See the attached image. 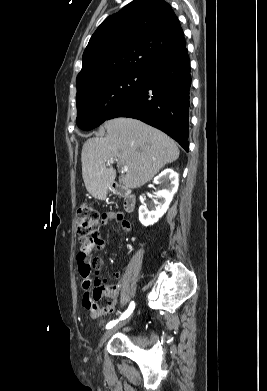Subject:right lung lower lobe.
Listing matches in <instances>:
<instances>
[{
  "label": "right lung lower lobe",
  "instance_id": "right-lung-lower-lobe-1",
  "mask_svg": "<svg viewBox=\"0 0 267 391\" xmlns=\"http://www.w3.org/2000/svg\"><path fill=\"white\" fill-rule=\"evenodd\" d=\"M144 75L142 87L113 110L108 119H139L167 133L188 152L191 74L186 47L155 62Z\"/></svg>",
  "mask_w": 267,
  "mask_h": 391
}]
</instances>
